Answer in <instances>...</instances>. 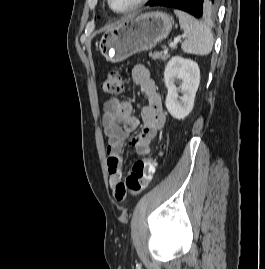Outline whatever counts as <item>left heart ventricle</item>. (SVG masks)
<instances>
[{"instance_id": "1", "label": "left heart ventricle", "mask_w": 265, "mask_h": 269, "mask_svg": "<svg viewBox=\"0 0 265 269\" xmlns=\"http://www.w3.org/2000/svg\"><path fill=\"white\" fill-rule=\"evenodd\" d=\"M112 6L116 10H122L129 7L135 0H111Z\"/></svg>"}]
</instances>
